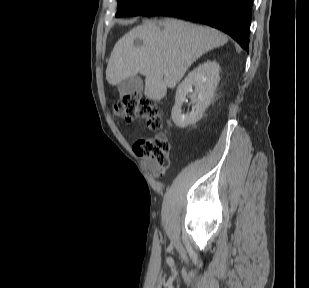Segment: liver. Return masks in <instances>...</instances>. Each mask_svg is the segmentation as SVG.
<instances>
[{"instance_id": "1", "label": "liver", "mask_w": 309, "mask_h": 288, "mask_svg": "<svg viewBox=\"0 0 309 288\" xmlns=\"http://www.w3.org/2000/svg\"><path fill=\"white\" fill-rule=\"evenodd\" d=\"M227 41L226 35L211 27L176 19L145 21L115 44L106 79L117 85L140 73L145 76V96L160 101L167 88H174L193 62Z\"/></svg>"}]
</instances>
